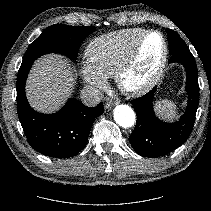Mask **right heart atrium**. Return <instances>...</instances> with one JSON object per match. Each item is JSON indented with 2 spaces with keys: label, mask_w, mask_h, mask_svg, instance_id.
<instances>
[{
  "label": "right heart atrium",
  "mask_w": 211,
  "mask_h": 211,
  "mask_svg": "<svg viewBox=\"0 0 211 211\" xmlns=\"http://www.w3.org/2000/svg\"><path fill=\"white\" fill-rule=\"evenodd\" d=\"M80 74L85 83L94 90H100L106 85V78L99 74L89 62L81 64Z\"/></svg>",
  "instance_id": "obj_1"
}]
</instances>
